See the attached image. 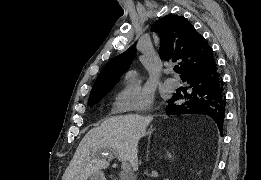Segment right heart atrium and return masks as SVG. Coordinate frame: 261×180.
Segmentation results:
<instances>
[{
	"mask_svg": "<svg viewBox=\"0 0 261 180\" xmlns=\"http://www.w3.org/2000/svg\"><path fill=\"white\" fill-rule=\"evenodd\" d=\"M115 99L123 108V112H136V108H146V112H149L155 103L153 91L139 84L120 90Z\"/></svg>",
	"mask_w": 261,
	"mask_h": 180,
	"instance_id": "obj_1",
	"label": "right heart atrium"
}]
</instances>
